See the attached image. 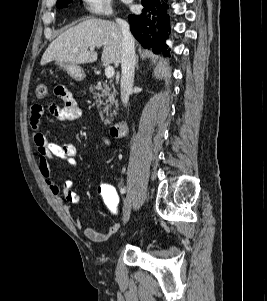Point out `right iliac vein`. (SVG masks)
Masks as SVG:
<instances>
[{
    "mask_svg": "<svg viewBox=\"0 0 267 301\" xmlns=\"http://www.w3.org/2000/svg\"><path fill=\"white\" fill-rule=\"evenodd\" d=\"M131 214V195L128 194L124 203L123 222L124 224L129 220Z\"/></svg>",
    "mask_w": 267,
    "mask_h": 301,
    "instance_id": "obj_1",
    "label": "right iliac vein"
}]
</instances>
